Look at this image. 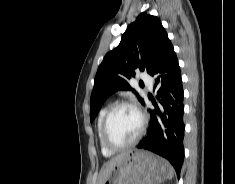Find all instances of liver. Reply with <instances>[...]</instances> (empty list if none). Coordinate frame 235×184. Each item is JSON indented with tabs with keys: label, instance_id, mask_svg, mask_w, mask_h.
I'll use <instances>...</instances> for the list:
<instances>
[{
	"label": "liver",
	"instance_id": "obj_1",
	"mask_svg": "<svg viewBox=\"0 0 235 184\" xmlns=\"http://www.w3.org/2000/svg\"><path fill=\"white\" fill-rule=\"evenodd\" d=\"M127 154H130V152H125V154H119V156H115V158H112V160H109V162H106L104 164L102 170L99 172L97 184H104L106 182L113 166H117V164H121L123 160H125Z\"/></svg>",
	"mask_w": 235,
	"mask_h": 184
}]
</instances>
